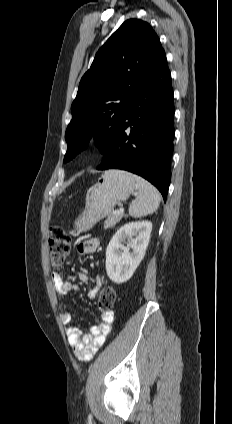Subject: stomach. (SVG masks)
<instances>
[{
    "instance_id": "0dacf381",
    "label": "stomach",
    "mask_w": 232,
    "mask_h": 424,
    "mask_svg": "<svg viewBox=\"0 0 232 424\" xmlns=\"http://www.w3.org/2000/svg\"><path fill=\"white\" fill-rule=\"evenodd\" d=\"M135 188L136 182L131 173L123 170L105 171L89 189L85 210L75 221L76 229L84 232L92 228L108 216L118 202L126 201Z\"/></svg>"
}]
</instances>
